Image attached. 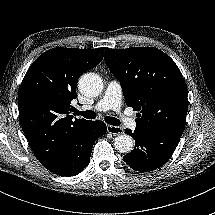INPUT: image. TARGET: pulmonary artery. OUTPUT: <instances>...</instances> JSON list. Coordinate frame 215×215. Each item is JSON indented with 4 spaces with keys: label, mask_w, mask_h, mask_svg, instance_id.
Returning <instances> with one entry per match:
<instances>
[{
    "label": "pulmonary artery",
    "mask_w": 215,
    "mask_h": 215,
    "mask_svg": "<svg viewBox=\"0 0 215 215\" xmlns=\"http://www.w3.org/2000/svg\"><path fill=\"white\" fill-rule=\"evenodd\" d=\"M121 99H122V92L120 86L116 82H110L106 90L104 92L103 97L97 103L96 106H79V111H86V110H98V111H105L108 109H115L119 110L121 107ZM118 123L123 128H128L130 126L135 127L136 123L134 122L133 114H122L118 118Z\"/></svg>",
    "instance_id": "obj_1"
}]
</instances>
